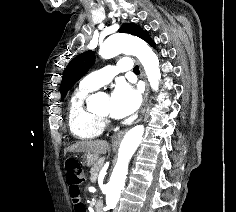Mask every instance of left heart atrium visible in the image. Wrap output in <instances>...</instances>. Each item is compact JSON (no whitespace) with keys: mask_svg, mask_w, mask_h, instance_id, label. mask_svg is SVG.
<instances>
[{"mask_svg":"<svg viewBox=\"0 0 236 212\" xmlns=\"http://www.w3.org/2000/svg\"><path fill=\"white\" fill-rule=\"evenodd\" d=\"M141 104L140 92L128 84H119L111 96V114L124 118L137 111Z\"/></svg>","mask_w":236,"mask_h":212,"instance_id":"1","label":"left heart atrium"}]
</instances>
